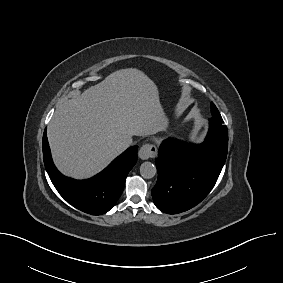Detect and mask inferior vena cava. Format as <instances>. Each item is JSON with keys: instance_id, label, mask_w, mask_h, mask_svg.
<instances>
[{"instance_id": "602c4592", "label": "inferior vena cava", "mask_w": 283, "mask_h": 283, "mask_svg": "<svg viewBox=\"0 0 283 283\" xmlns=\"http://www.w3.org/2000/svg\"><path fill=\"white\" fill-rule=\"evenodd\" d=\"M131 143L132 138L129 135H124L119 142L120 146L123 148H127Z\"/></svg>"}]
</instances>
